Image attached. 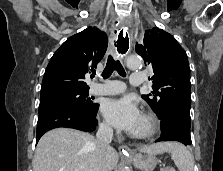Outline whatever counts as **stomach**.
Listing matches in <instances>:
<instances>
[{
    "label": "stomach",
    "mask_w": 223,
    "mask_h": 171,
    "mask_svg": "<svg viewBox=\"0 0 223 171\" xmlns=\"http://www.w3.org/2000/svg\"><path fill=\"white\" fill-rule=\"evenodd\" d=\"M133 164L141 171H153L157 165V158L154 154H142L140 151L133 155Z\"/></svg>",
    "instance_id": "stomach-1"
}]
</instances>
